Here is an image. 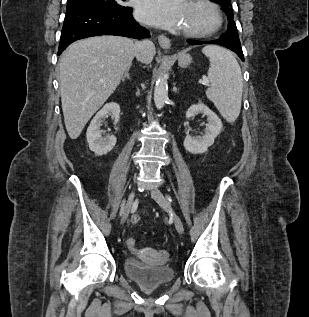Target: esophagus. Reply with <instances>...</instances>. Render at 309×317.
<instances>
[{"label": "esophagus", "instance_id": "1", "mask_svg": "<svg viewBox=\"0 0 309 317\" xmlns=\"http://www.w3.org/2000/svg\"><path fill=\"white\" fill-rule=\"evenodd\" d=\"M158 42H159V45L163 49H166V50H168L170 48V46H171L170 39L167 36H165V35H159Z\"/></svg>", "mask_w": 309, "mask_h": 317}]
</instances>
